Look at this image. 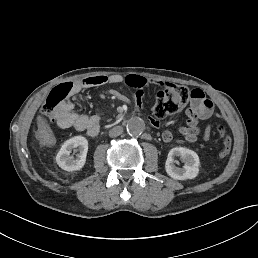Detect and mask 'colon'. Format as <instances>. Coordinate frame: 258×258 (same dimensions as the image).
I'll return each instance as SVG.
<instances>
[{"mask_svg": "<svg viewBox=\"0 0 258 258\" xmlns=\"http://www.w3.org/2000/svg\"><path fill=\"white\" fill-rule=\"evenodd\" d=\"M73 94H75V84L72 82H64L55 86L49 92L42 107V118L47 121H54L57 110L68 103ZM190 95L191 92L185 86L165 83L156 94L153 107L154 116L162 119L178 113L185 106ZM217 131L222 139V147L219 154L221 157H226L231 151L232 140L227 135L223 125H219Z\"/></svg>", "mask_w": 258, "mask_h": 258, "instance_id": "colon-1", "label": "colon"}]
</instances>
